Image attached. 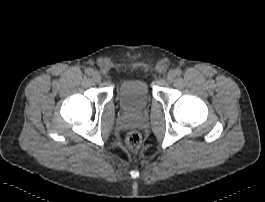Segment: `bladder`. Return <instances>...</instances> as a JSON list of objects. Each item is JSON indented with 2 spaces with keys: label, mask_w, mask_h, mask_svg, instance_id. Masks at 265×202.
Here are the masks:
<instances>
[{
  "label": "bladder",
  "mask_w": 265,
  "mask_h": 202,
  "mask_svg": "<svg viewBox=\"0 0 265 202\" xmlns=\"http://www.w3.org/2000/svg\"><path fill=\"white\" fill-rule=\"evenodd\" d=\"M153 98L148 82L143 78L127 79L117 90V99L122 108L135 112L145 107Z\"/></svg>",
  "instance_id": "31cf9c89"
}]
</instances>
